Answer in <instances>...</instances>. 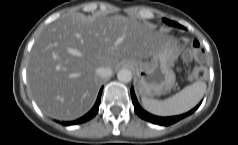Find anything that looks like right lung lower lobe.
Masks as SVG:
<instances>
[{"label": "right lung lower lobe", "instance_id": "obj_1", "mask_svg": "<svg viewBox=\"0 0 238 145\" xmlns=\"http://www.w3.org/2000/svg\"><path fill=\"white\" fill-rule=\"evenodd\" d=\"M102 89L100 90L99 92V95H98V98H97V101L94 105V107L91 109L90 112H88L86 115H84L83 117L75 120V121H71V122H62L63 125H74V124H80V123H84L90 119H92L98 112V109H99V104H100V99H101V93H102Z\"/></svg>", "mask_w": 238, "mask_h": 145}]
</instances>
